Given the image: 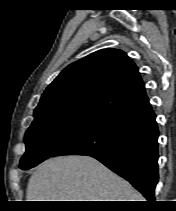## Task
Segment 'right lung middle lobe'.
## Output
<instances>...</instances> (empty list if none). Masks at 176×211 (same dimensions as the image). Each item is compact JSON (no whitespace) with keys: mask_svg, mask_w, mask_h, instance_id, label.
Masks as SVG:
<instances>
[{"mask_svg":"<svg viewBox=\"0 0 176 211\" xmlns=\"http://www.w3.org/2000/svg\"><path fill=\"white\" fill-rule=\"evenodd\" d=\"M34 117L25 134L26 152L19 164L23 170L51 157L101 121L60 111L46 112Z\"/></svg>","mask_w":176,"mask_h":211,"instance_id":"dd1d6c3e","label":"right lung middle lobe"}]
</instances>
